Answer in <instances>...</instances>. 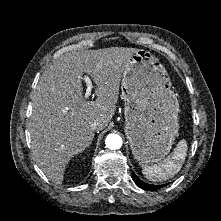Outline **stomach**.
Here are the masks:
<instances>
[{"mask_svg":"<svg viewBox=\"0 0 221 221\" xmlns=\"http://www.w3.org/2000/svg\"><path fill=\"white\" fill-rule=\"evenodd\" d=\"M121 93L134 158L142 166L162 161L179 130V102L165 67L151 52L138 50L126 63Z\"/></svg>","mask_w":221,"mask_h":221,"instance_id":"stomach-1","label":"stomach"}]
</instances>
